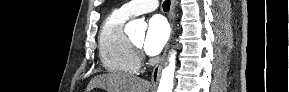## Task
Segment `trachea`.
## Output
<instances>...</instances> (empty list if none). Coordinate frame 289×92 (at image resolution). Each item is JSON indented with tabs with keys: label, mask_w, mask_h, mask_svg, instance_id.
Wrapping results in <instances>:
<instances>
[{
	"label": "trachea",
	"mask_w": 289,
	"mask_h": 92,
	"mask_svg": "<svg viewBox=\"0 0 289 92\" xmlns=\"http://www.w3.org/2000/svg\"><path fill=\"white\" fill-rule=\"evenodd\" d=\"M170 4H171V1H170V0L164 1V3H163V10H164V11H169V9H170Z\"/></svg>",
	"instance_id": "obj_1"
}]
</instances>
